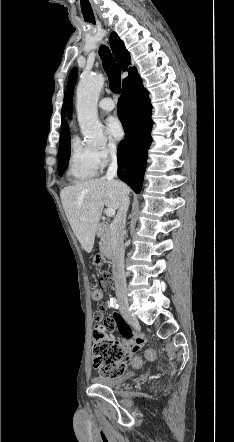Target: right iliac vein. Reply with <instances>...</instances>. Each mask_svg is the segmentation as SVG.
I'll list each match as a JSON object with an SVG mask.
<instances>
[{"mask_svg": "<svg viewBox=\"0 0 234 442\" xmlns=\"http://www.w3.org/2000/svg\"><path fill=\"white\" fill-rule=\"evenodd\" d=\"M120 308L123 316L125 319L130 322L131 324L135 325L137 324V319L129 312V304L126 300L120 301Z\"/></svg>", "mask_w": 234, "mask_h": 442, "instance_id": "63e3f726", "label": "right iliac vein"}]
</instances>
